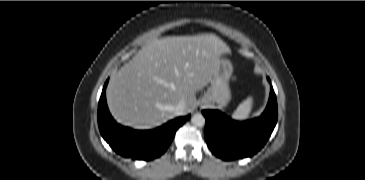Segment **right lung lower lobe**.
Returning <instances> with one entry per match:
<instances>
[{"label": "right lung lower lobe", "mask_w": 365, "mask_h": 180, "mask_svg": "<svg viewBox=\"0 0 365 180\" xmlns=\"http://www.w3.org/2000/svg\"><path fill=\"white\" fill-rule=\"evenodd\" d=\"M104 84L98 105V126L102 137L119 155L133 160H152L162 155L177 129L182 126L190 115L169 121L161 127L152 130H133L121 126L112 118L106 103V86Z\"/></svg>", "instance_id": "98d812e1"}]
</instances>
